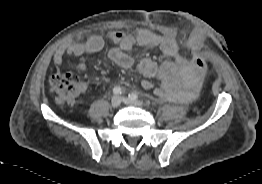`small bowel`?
I'll use <instances>...</instances> for the list:
<instances>
[{"mask_svg": "<svg viewBox=\"0 0 262 184\" xmlns=\"http://www.w3.org/2000/svg\"><path fill=\"white\" fill-rule=\"evenodd\" d=\"M205 25H198L191 29L186 51L194 52L207 40ZM106 39L115 44L108 52L109 59L123 69H130L134 65V59L129 52L135 47L158 48L167 57L158 64L151 59L143 58L138 62V69L146 79L142 80L144 89H152L151 79H159L161 86L154 88V93L160 98L174 102H190L197 98L204 72L191 66L188 58L184 57L173 36L156 34L147 30H141L135 34H127L121 31H111ZM104 39L94 35L84 42H69L57 48L53 55L56 65L62 64L66 56L78 57V69L86 70V56L95 54L104 47ZM85 89V84H82Z\"/></svg>", "mask_w": 262, "mask_h": 184, "instance_id": "1", "label": "small bowel"}]
</instances>
